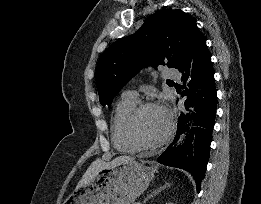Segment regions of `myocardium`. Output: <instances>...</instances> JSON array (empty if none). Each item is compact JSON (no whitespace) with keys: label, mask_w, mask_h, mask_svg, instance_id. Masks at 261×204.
Returning a JSON list of instances; mask_svg holds the SVG:
<instances>
[{"label":"myocardium","mask_w":261,"mask_h":204,"mask_svg":"<svg viewBox=\"0 0 261 204\" xmlns=\"http://www.w3.org/2000/svg\"><path fill=\"white\" fill-rule=\"evenodd\" d=\"M149 108H158L162 110L168 120V127L167 131L164 136L154 143H146L144 142L136 131V123L139 116ZM174 132V119L171 111L165 105L156 102V101H145L139 103L135 106V108L130 112L126 121H125V133L128 139L138 148L141 150H153L163 146L165 143L169 141L172 134Z\"/></svg>","instance_id":"1"}]
</instances>
